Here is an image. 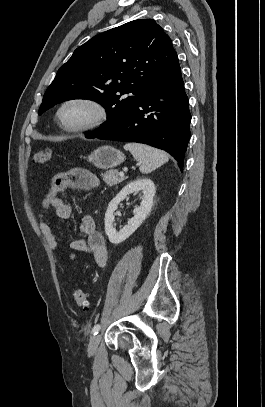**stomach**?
I'll list each match as a JSON object with an SVG mask.
<instances>
[{"instance_id": "0dacf381", "label": "stomach", "mask_w": 265, "mask_h": 407, "mask_svg": "<svg viewBox=\"0 0 265 407\" xmlns=\"http://www.w3.org/2000/svg\"><path fill=\"white\" fill-rule=\"evenodd\" d=\"M125 155L111 146H102L88 155V161L100 169H110L123 163Z\"/></svg>"}]
</instances>
